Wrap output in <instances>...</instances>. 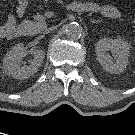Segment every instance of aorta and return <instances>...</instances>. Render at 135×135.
<instances>
[{
	"mask_svg": "<svg viewBox=\"0 0 135 135\" xmlns=\"http://www.w3.org/2000/svg\"><path fill=\"white\" fill-rule=\"evenodd\" d=\"M65 32L68 38L70 39H79L82 35V28L76 22H71L66 25Z\"/></svg>",
	"mask_w": 135,
	"mask_h": 135,
	"instance_id": "obj_1",
	"label": "aorta"
}]
</instances>
